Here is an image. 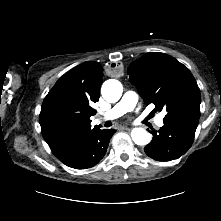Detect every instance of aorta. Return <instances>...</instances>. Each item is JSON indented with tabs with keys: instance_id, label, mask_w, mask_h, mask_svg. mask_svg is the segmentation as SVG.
<instances>
[{
	"instance_id": "1",
	"label": "aorta",
	"mask_w": 221,
	"mask_h": 221,
	"mask_svg": "<svg viewBox=\"0 0 221 221\" xmlns=\"http://www.w3.org/2000/svg\"><path fill=\"white\" fill-rule=\"evenodd\" d=\"M122 92V84L115 79L105 81L101 88L103 98L110 103L117 102L121 98ZM131 137L137 145H146L151 141V135L141 127L134 128Z\"/></svg>"
}]
</instances>
